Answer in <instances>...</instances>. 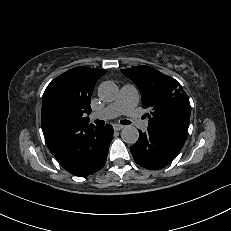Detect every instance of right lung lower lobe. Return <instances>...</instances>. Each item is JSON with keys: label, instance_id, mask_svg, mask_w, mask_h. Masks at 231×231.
Masks as SVG:
<instances>
[{"label": "right lung lower lobe", "instance_id": "1", "mask_svg": "<svg viewBox=\"0 0 231 231\" xmlns=\"http://www.w3.org/2000/svg\"><path fill=\"white\" fill-rule=\"evenodd\" d=\"M112 137L110 124L83 127L73 134L67 146L53 155L65 170L86 177L104 166Z\"/></svg>", "mask_w": 231, "mask_h": 231}]
</instances>
